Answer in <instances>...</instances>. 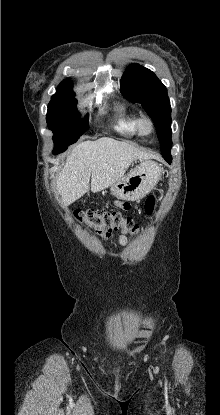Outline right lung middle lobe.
I'll list each match as a JSON object with an SVG mask.
<instances>
[{
	"label": "right lung middle lobe",
	"instance_id": "1",
	"mask_svg": "<svg viewBox=\"0 0 220 415\" xmlns=\"http://www.w3.org/2000/svg\"><path fill=\"white\" fill-rule=\"evenodd\" d=\"M77 100L72 94L56 93L48 105L46 121L48 128L53 131L54 150L58 154L75 143L86 132L88 117L79 118L75 107Z\"/></svg>",
	"mask_w": 220,
	"mask_h": 415
}]
</instances>
